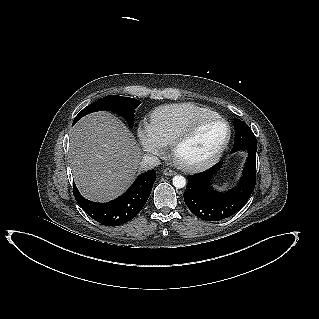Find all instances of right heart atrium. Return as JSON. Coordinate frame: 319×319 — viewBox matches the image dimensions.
Listing matches in <instances>:
<instances>
[{"label": "right heart atrium", "mask_w": 319, "mask_h": 319, "mask_svg": "<svg viewBox=\"0 0 319 319\" xmlns=\"http://www.w3.org/2000/svg\"><path fill=\"white\" fill-rule=\"evenodd\" d=\"M137 137L140 146L146 153L161 157L166 152L167 144L156 135L150 124L140 123L137 127Z\"/></svg>", "instance_id": "right-heart-atrium-1"}]
</instances>
